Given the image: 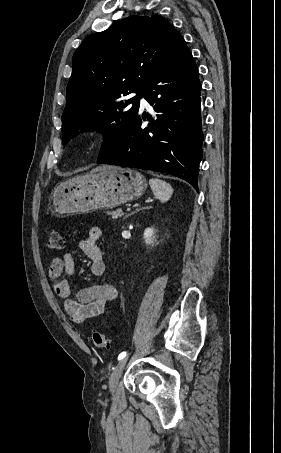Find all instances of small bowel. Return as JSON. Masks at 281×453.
Returning <instances> with one entry per match:
<instances>
[{
  "mask_svg": "<svg viewBox=\"0 0 281 453\" xmlns=\"http://www.w3.org/2000/svg\"><path fill=\"white\" fill-rule=\"evenodd\" d=\"M101 235L100 227H92L79 243L80 250L90 259L89 273L94 277H101L106 271L104 255L97 244ZM63 272L68 276L76 274V263L70 253L52 259L47 277L54 284L56 293L65 298L63 310L76 324L83 325L89 319L101 316L108 305L118 299V292L111 285L84 287L77 291L74 298H68L71 289L68 281L62 276Z\"/></svg>",
  "mask_w": 281,
  "mask_h": 453,
  "instance_id": "1",
  "label": "small bowel"
}]
</instances>
